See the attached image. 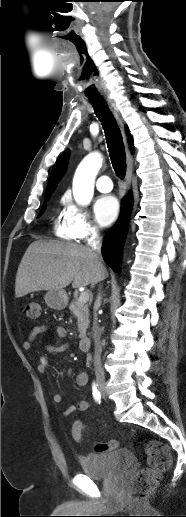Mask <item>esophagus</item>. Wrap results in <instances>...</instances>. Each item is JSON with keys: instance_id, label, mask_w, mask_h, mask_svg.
<instances>
[{"instance_id": "34e87169", "label": "esophagus", "mask_w": 186, "mask_h": 517, "mask_svg": "<svg viewBox=\"0 0 186 517\" xmlns=\"http://www.w3.org/2000/svg\"><path fill=\"white\" fill-rule=\"evenodd\" d=\"M106 101L108 102V104L110 105V108L112 109L115 117L117 118L121 128H122V131H123V134H124V127H123V123H122V120L120 118V115H119V111L117 109V107L115 106V104L113 103V101L111 100L110 97L108 96H104ZM124 139H125V142H126V136L124 134ZM126 152H127V172H126V176H125V186H126V189L128 190L130 188V183H131V176H132V170H133V157L131 155V152L128 148V144L126 142Z\"/></svg>"}]
</instances>
